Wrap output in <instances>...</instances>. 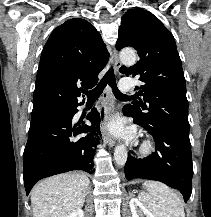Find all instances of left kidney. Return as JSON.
I'll return each instance as SVG.
<instances>
[{"mask_svg": "<svg viewBox=\"0 0 211 217\" xmlns=\"http://www.w3.org/2000/svg\"><path fill=\"white\" fill-rule=\"evenodd\" d=\"M130 209L132 217H155L138 198H131Z\"/></svg>", "mask_w": 211, "mask_h": 217, "instance_id": "left-kidney-1", "label": "left kidney"}]
</instances>
